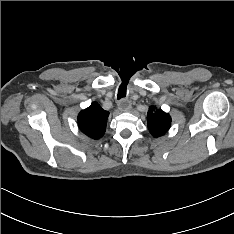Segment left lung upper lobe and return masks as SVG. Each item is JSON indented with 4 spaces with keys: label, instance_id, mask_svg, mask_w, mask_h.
<instances>
[{
    "label": "left lung upper lobe",
    "instance_id": "left-lung-upper-lobe-1",
    "mask_svg": "<svg viewBox=\"0 0 234 234\" xmlns=\"http://www.w3.org/2000/svg\"><path fill=\"white\" fill-rule=\"evenodd\" d=\"M148 129L154 137L164 135L171 125V117L161 109L152 106L147 114Z\"/></svg>",
    "mask_w": 234,
    "mask_h": 234
}]
</instances>
